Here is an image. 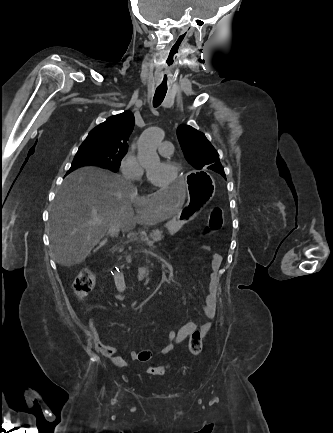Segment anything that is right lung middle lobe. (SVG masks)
Listing matches in <instances>:
<instances>
[{
    "mask_svg": "<svg viewBox=\"0 0 333 433\" xmlns=\"http://www.w3.org/2000/svg\"><path fill=\"white\" fill-rule=\"evenodd\" d=\"M127 150L98 146L94 143L83 142L72 164H91L117 171Z\"/></svg>",
    "mask_w": 333,
    "mask_h": 433,
    "instance_id": "dd1d6c3e",
    "label": "right lung middle lobe"
}]
</instances>
